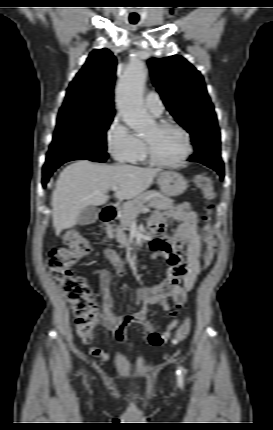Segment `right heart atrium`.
<instances>
[{
    "label": "right heart atrium",
    "mask_w": 273,
    "mask_h": 430,
    "mask_svg": "<svg viewBox=\"0 0 273 430\" xmlns=\"http://www.w3.org/2000/svg\"><path fill=\"white\" fill-rule=\"evenodd\" d=\"M106 143L112 157L121 163H129L143 147L142 140L116 115L106 131Z\"/></svg>",
    "instance_id": "d8ad5b80"
}]
</instances>
